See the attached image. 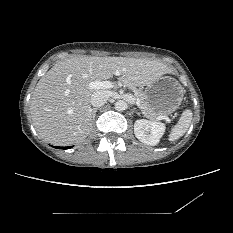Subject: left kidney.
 Instances as JSON below:
<instances>
[{
    "mask_svg": "<svg viewBox=\"0 0 233 233\" xmlns=\"http://www.w3.org/2000/svg\"><path fill=\"white\" fill-rule=\"evenodd\" d=\"M165 125L157 121L140 119L134 123V133L144 144L155 146L165 132Z\"/></svg>",
    "mask_w": 233,
    "mask_h": 233,
    "instance_id": "1",
    "label": "left kidney"
}]
</instances>
